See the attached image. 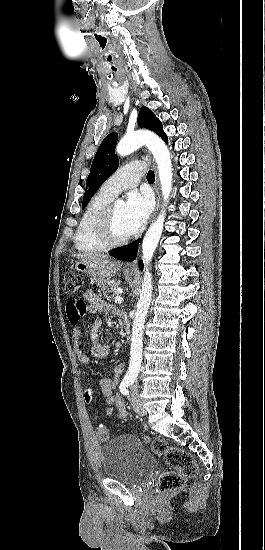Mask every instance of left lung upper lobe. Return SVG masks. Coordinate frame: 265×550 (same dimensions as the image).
Returning a JSON list of instances; mask_svg holds the SVG:
<instances>
[{"instance_id": "obj_1", "label": "left lung upper lobe", "mask_w": 265, "mask_h": 550, "mask_svg": "<svg viewBox=\"0 0 265 550\" xmlns=\"http://www.w3.org/2000/svg\"><path fill=\"white\" fill-rule=\"evenodd\" d=\"M138 125L154 131L166 143L167 135L164 133L162 123L147 107H142L138 114ZM117 142V133L107 135L99 146L91 165L90 174L86 180V190L82 205L88 204L94 193L118 168L119 161L114 148Z\"/></svg>"}]
</instances>
